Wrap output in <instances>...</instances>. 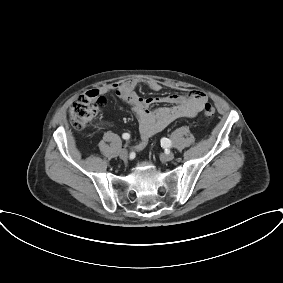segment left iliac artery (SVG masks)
I'll use <instances>...</instances> for the list:
<instances>
[{
  "label": "left iliac artery",
  "instance_id": "44dca946",
  "mask_svg": "<svg viewBox=\"0 0 283 283\" xmlns=\"http://www.w3.org/2000/svg\"><path fill=\"white\" fill-rule=\"evenodd\" d=\"M161 145L163 147H171L172 146V142H171L170 139L164 137V138L161 139Z\"/></svg>",
  "mask_w": 283,
  "mask_h": 283
}]
</instances>
